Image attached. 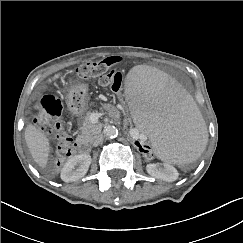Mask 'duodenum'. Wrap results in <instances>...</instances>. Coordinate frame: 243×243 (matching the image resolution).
<instances>
[{"label":"duodenum","mask_w":243,"mask_h":243,"mask_svg":"<svg viewBox=\"0 0 243 243\" xmlns=\"http://www.w3.org/2000/svg\"><path fill=\"white\" fill-rule=\"evenodd\" d=\"M74 150L77 153H85L88 150V144L83 139H79L74 143Z\"/></svg>","instance_id":"410a0bca"}]
</instances>
